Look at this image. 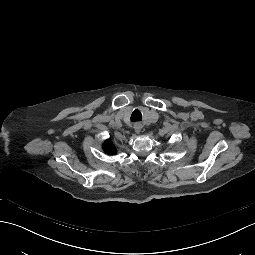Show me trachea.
<instances>
[{
    "label": "trachea",
    "mask_w": 255,
    "mask_h": 255,
    "mask_svg": "<svg viewBox=\"0 0 255 255\" xmlns=\"http://www.w3.org/2000/svg\"><path fill=\"white\" fill-rule=\"evenodd\" d=\"M142 120V114L138 109H135L133 113L131 114V121L137 122Z\"/></svg>",
    "instance_id": "3493384b"
}]
</instances>
